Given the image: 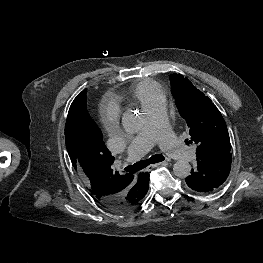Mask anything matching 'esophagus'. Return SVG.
<instances>
[{
    "instance_id": "34e87169",
    "label": "esophagus",
    "mask_w": 263,
    "mask_h": 263,
    "mask_svg": "<svg viewBox=\"0 0 263 263\" xmlns=\"http://www.w3.org/2000/svg\"><path fill=\"white\" fill-rule=\"evenodd\" d=\"M166 164H167V162H161V163L151 164V165H149V166L146 168V170H147V171H151L152 169H154V168H156V167H158V166L166 165Z\"/></svg>"
}]
</instances>
